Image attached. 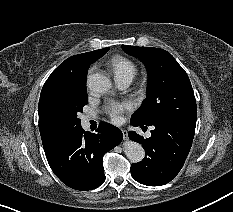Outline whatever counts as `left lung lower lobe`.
I'll return each instance as SVG.
<instances>
[{
  "mask_svg": "<svg viewBox=\"0 0 233 212\" xmlns=\"http://www.w3.org/2000/svg\"><path fill=\"white\" fill-rule=\"evenodd\" d=\"M134 126L146 128L131 120ZM154 130L150 138L129 132L133 141L142 144L145 157L131 165L132 177L141 184L160 186L170 182L181 170L191 148L196 123L159 119L151 124Z\"/></svg>",
  "mask_w": 233,
  "mask_h": 212,
  "instance_id": "obj_1",
  "label": "left lung lower lobe"
}]
</instances>
